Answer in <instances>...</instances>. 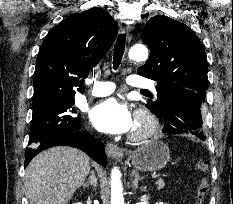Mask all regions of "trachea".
Returning <instances> with one entry per match:
<instances>
[{
	"instance_id": "3493384b",
	"label": "trachea",
	"mask_w": 233,
	"mask_h": 204,
	"mask_svg": "<svg viewBox=\"0 0 233 204\" xmlns=\"http://www.w3.org/2000/svg\"><path fill=\"white\" fill-rule=\"evenodd\" d=\"M125 44H126V34L122 33L118 36L114 47L113 68L115 70L118 69L122 61V57L125 51ZM141 91H147V90H141Z\"/></svg>"
}]
</instances>
